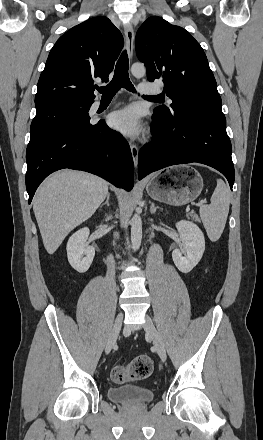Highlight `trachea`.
<instances>
[{"mask_svg": "<svg viewBox=\"0 0 263 440\" xmlns=\"http://www.w3.org/2000/svg\"><path fill=\"white\" fill-rule=\"evenodd\" d=\"M128 68H129L128 55L126 51H123L116 64L114 77L111 80V82L105 87L98 88V91L102 94L103 97L114 96L122 87L126 88L129 91L135 92V88L129 79ZM145 97L160 98L159 96H145Z\"/></svg>", "mask_w": 263, "mask_h": 440, "instance_id": "obj_1", "label": "trachea"}]
</instances>
